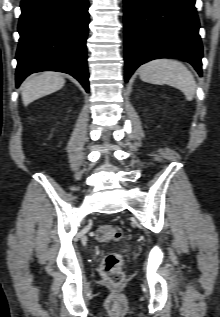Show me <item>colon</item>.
<instances>
[{
    "instance_id": "1",
    "label": "colon",
    "mask_w": 220,
    "mask_h": 317,
    "mask_svg": "<svg viewBox=\"0 0 220 317\" xmlns=\"http://www.w3.org/2000/svg\"><path fill=\"white\" fill-rule=\"evenodd\" d=\"M97 239L102 242L118 241L122 232L119 227L101 225L96 232ZM99 272L101 277L110 285L118 286L124 282L123 255L118 252L106 254L100 263Z\"/></svg>"
}]
</instances>
